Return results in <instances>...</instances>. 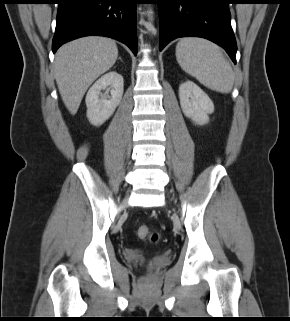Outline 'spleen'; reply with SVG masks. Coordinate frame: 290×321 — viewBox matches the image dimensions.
<instances>
[{
    "label": "spleen",
    "mask_w": 290,
    "mask_h": 321,
    "mask_svg": "<svg viewBox=\"0 0 290 321\" xmlns=\"http://www.w3.org/2000/svg\"><path fill=\"white\" fill-rule=\"evenodd\" d=\"M176 58L182 69L206 87L229 93L234 76L221 49L200 38H183L176 46Z\"/></svg>",
    "instance_id": "3e777b00"
}]
</instances>
